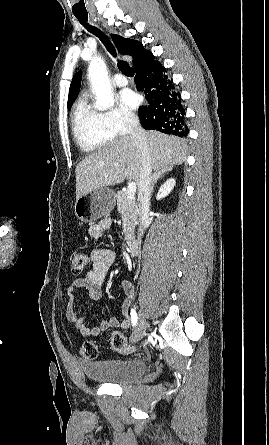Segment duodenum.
<instances>
[{
	"label": "duodenum",
	"instance_id": "410a0bca",
	"mask_svg": "<svg viewBox=\"0 0 269 445\" xmlns=\"http://www.w3.org/2000/svg\"><path fill=\"white\" fill-rule=\"evenodd\" d=\"M140 247H141V242L136 239L131 240L128 245L129 252L131 254H136L140 250Z\"/></svg>",
	"mask_w": 269,
	"mask_h": 445
}]
</instances>
